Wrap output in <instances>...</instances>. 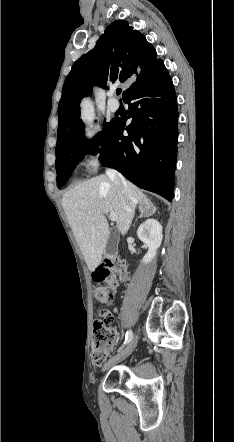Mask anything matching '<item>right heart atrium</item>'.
Segmentation results:
<instances>
[{"label":"right heart atrium","instance_id":"right-heart-atrium-1","mask_svg":"<svg viewBox=\"0 0 234 442\" xmlns=\"http://www.w3.org/2000/svg\"><path fill=\"white\" fill-rule=\"evenodd\" d=\"M83 146L86 166L89 171L94 172L99 166L105 148L102 131L94 129L85 132L83 135Z\"/></svg>","mask_w":234,"mask_h":442}]
</instances>
